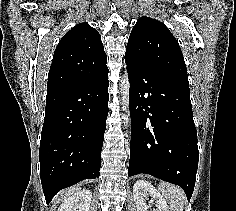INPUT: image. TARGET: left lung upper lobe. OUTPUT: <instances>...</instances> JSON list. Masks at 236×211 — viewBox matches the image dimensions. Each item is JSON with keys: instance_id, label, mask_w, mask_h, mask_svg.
Listing matches in <instances>:
<instances>
[{"instance_id": "5c2ea615", "label": "left lung upper lobe", "mask_w": 236, "mask_h": 211, "mask_svg": "<svg viewBox=\"0 0 236 211\" xmlns=\"http://www.w3.org/2000/svg\"><path fill=\"white\" fill-rule=\"evenodd\" d=\"M125 60L189 87L180 46L160 21L141 17L129 36Z\"/></svg>"}]
</instances>
